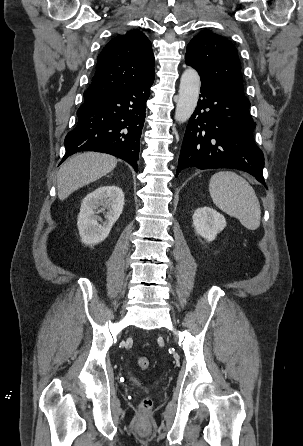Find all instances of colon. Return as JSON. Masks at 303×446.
Instances as JSON below:
<instances>
[{"mask_svg":"<svg viewBox=\"0 0 303 446\" xmlns=\"http://www.w3.org/2000/svg\"><path fill=\"white\" fill-rule=\"evenodd\" d=\"M137 365L141 370H148L150 368L151 362L145 356H140L137 359ZM141 409L144 412H148L152 408V401L150 398H144L140 404Z\"/></svg>","mask_w":303,"mask_h":446,"instance_id":"obj_1","label":"colon"}]
</instances>
